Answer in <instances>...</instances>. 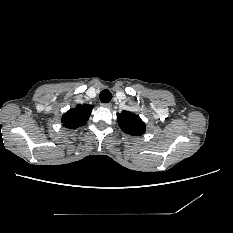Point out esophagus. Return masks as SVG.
<instances>
[{
	"instance_id": "obj_1",
	"label": "esophagus",
	"mask_w": 233,
	"mask_h": 233,
	"mask_svg": "<svg viewBox=\"0 0 233 233\" xmlns=\"http://www.w3.org/2000/svg\"><path fill=\"white\" fill-rule=\"evenodd\" d=\"M101 106L105 107V108H111L112 104L111 103H101Z\"/></svg>"
}]
</instances>
